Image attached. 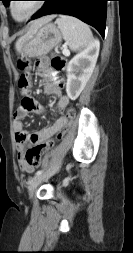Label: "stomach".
Wrapping results in <instances>:
<instances>
[{"mask_svg":"<svg viewBox=\"0 0 133 253\" xmlns=\"http://www.w3.org/2000/svg\"><path fill=\"white\" fill-rule=\"evenodd\" d=\"M62 42V33L53 23L41 26L20 47L19 53L23 57H38L48 54Z\"/></svg>","mask_w":133,"mask_h":253,"instance_id":"1","label":"stomach"}]
</instances>
